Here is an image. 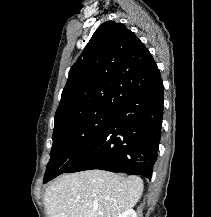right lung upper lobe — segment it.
I'll list each match as a JSON object with an SVG mask.
<instances>
[{"label": "right lung upper lobe", "instance_id": "1", "mask_svg": "<svg viewBox=\"0 0 211 217\" xmlns=\"http://www.w3.org/2000/svg\"><path fill=\"white\" fill-rule=\"evenodd\" d=\"M160 78L151 53L135 34L121 23L104 22L69 71L54 127L90 112L116 111Z\"/></svg>", "mask_w": 211, "mask_h": 217}]
</instances>
